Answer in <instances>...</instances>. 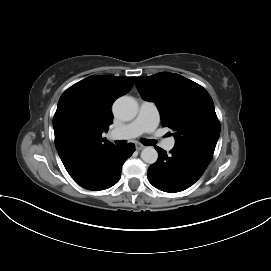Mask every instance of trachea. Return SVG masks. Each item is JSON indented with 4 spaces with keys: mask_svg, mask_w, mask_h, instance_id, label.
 <instances>
[{
    "mask_svg": "<svg viewBox=\"0 0 271 271\" xmlns=\"http://www.w3.org/2000/svg\"><path fill=\"white\" fill-rule=\"evenodd\" d=\"M145 146H151L153 144H155V141L154 140H150V139H143L141 141ZM126 141H123V140H117L116 141V144H119V145H122V144H125Z\"/></svg>",
    "mask_w": 271,
    "mask_h": 271,
    "instance_id": "3493384b",
    "label": "trachea"
}]
</instances>
